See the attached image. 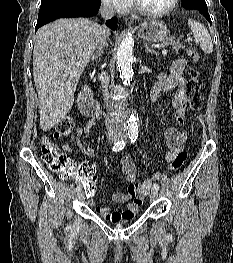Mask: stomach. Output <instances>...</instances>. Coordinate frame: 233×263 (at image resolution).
<instances>
[{
  "instance_id": "obj_1",
  "label": "stomach",
  "mask_w": 233,
  "mask_h": 263,
  "mask_svg": "<svg viewBox=\"0 0 233 263\" xmlns=\"http://www.w3.org/2000/svg\"><path fill=\"white\" fill-rule=\"evenodd\" d=\"M167 26L159 20H149L142 23L138 29V35L150 42L164 41L168 35Z\"/></svg>"
}]
</instances>
